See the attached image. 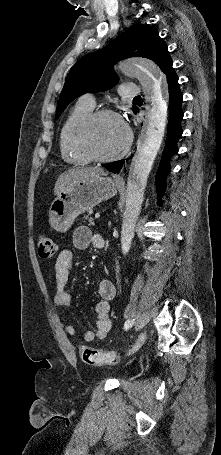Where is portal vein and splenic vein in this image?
<instances>
[{"label": "portal vein and splenic vein", "instance_id": "18ae733b", "mask_svg": "<svg viewBox=\"0 0 221 455\" xmlns=\"http://www.w3.org/2000/svg\"><path fill=\"white\" fill-rule=\"evenodd\" d=\"M100 217V214L99 213H96L95 214V218L98 219Z\"/></svg>", "mask_w": 221, "mask_h": 455}]
</instances>
